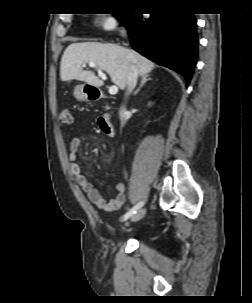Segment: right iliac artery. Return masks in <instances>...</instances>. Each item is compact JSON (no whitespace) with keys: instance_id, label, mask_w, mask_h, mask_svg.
<instances>
[{"instance_id":"right-iliac-artery-1","label":"right iliac artery","mask_w":252,"mask_h":303,"mask_svg":"<svg viewBox=\"0 0 252 303\" xmlns=\"http://www.w3.org/2000/svg\"><path fill=\"white\" fill-rule=\"evenodd\" d=\"M143 206V202H139L137 203L132 209H130L123 217H122V221L127 220L128 218H130L134 213L137 212V210H139L141 207Z\"/></svg>"}]
</instances>
